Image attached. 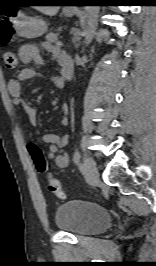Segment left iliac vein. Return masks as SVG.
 Returning a JSON list of instances; mask_svg holds the SVG:
<instances>
[{
  "instance_id": "4c4485c4",
  "label": "left iliac vein",
  "mask_w": 156,
  "mask_h": 266,
  "mask_svg": "<svg viewBox=\"0 0 156 266\" xmlns=\"http://www.w3.org/2000/svg\"><path fill=\"white\" fill-rule=\"evenodd\" d=\"M83 169L92 186H96L99 182V174L96 164L91 157H85L83 161Z\"/></svg>"
}]
</instances>
